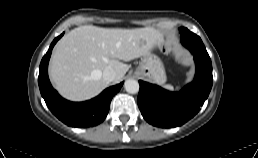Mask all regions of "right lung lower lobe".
<instances>
[{"label": "right lung lower lobe", "mask_w": 258, "mask_h": 158, "mask_svg": "<svg viewBox=\"0 0 258 158\" xmlns=\"http://www.w3.org/2000/svg\"><path fill=\"white\" fill-rule=\"evenodd\" d=\"M63 36L56 37L39 67L38 84L42 97L51 112L63 123L72 127H92L102 122L109 111L113 96L120 90L123 82L109 87L99 96L85 102H70L63 99L51 86L47 68L55 43Z\"/></svg>", "instance_id": "obj_1"}]
</instances>
